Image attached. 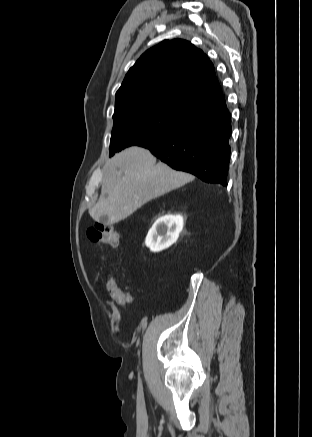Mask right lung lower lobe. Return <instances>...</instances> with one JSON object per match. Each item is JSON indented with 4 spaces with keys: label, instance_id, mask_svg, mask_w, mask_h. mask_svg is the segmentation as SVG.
I'll use <instances>...</instances> for the list:
<instances>
[{
    "label": "right lung lower lobe",
    "instance_id": "obj_1",
    "mask_svg": "<svg viewBox=\"0 0 312 437\" xmlns=\"http://www.w3.org/2000/svg\"><path fill=\"white\" fill-rule=\"evenodd\" d=\"M230 135L231 116L223 96L195 111L172 134L140 146L176 170L192 173L207 183L227 186Z\"/></svg>",
    "mask_w": 312,
    "mask_h": 437
}]
</instances>
